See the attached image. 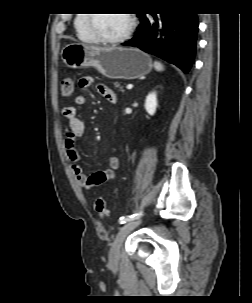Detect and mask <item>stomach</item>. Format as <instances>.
Returning a JSON list of instances; mask_svg holds the SVG:
<instances>
[{"mask_svg": "<svg viewBox=\"0 0 252 303\" xmlns=\"http://www.w3.org/2000/svg\"><path fill=\"white\" fill-rule=\"evenodd\" d=\"M61 58L70 68L95 67L110 79L133 80L152 69L148 55L136 48L69 43L62 49Z\"/></svg>", "mask_w": 252, "mask_h": 303, "instance_id": "0dacf381", "label": "stomach"}]
</instances>
